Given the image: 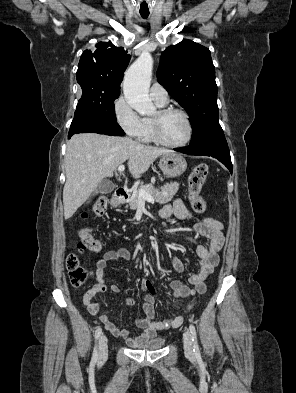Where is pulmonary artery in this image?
<instances>
[{"mask_svg": "<svg viewBox=\"0 0 296 393\" xmlns=\"http://www.w3.org/2000/svg\"><path fill=\"white\" fill-rule=\"evenodd\" d=\"M150 97L158 105L164 106L168 103V93L158 82H154L150 87Z\"/></svg>", "mask_w": 296, "mask_h": 393, "instance_id": "1", "label": "pulmonary artery"}]
</instances>
